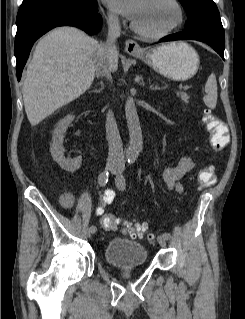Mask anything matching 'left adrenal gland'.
Listing matches in <instances>:
<instances>
[{
  "instance_id": "obj_1",
  "label": "left adrenal gland",
  "mask_w": 245,
  "mask_h": 319,
  "mask_svg": "<svg viewBox=\"0 0 245 319\" xmlns=\"http://www.w3.org/2000/svg\"><path fill=\"white\" fill-rule=\"evenodd\" d=\"M164 87H160V86H158V85H153V84H151L150 83V89H152V90H156V89H163Z\"/></svg>"
}]
</instances>
